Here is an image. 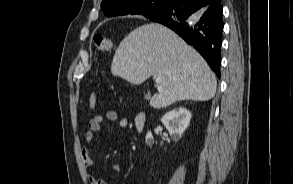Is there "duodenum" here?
I'll return each mask as SVG.
<instances>
[{
    "instance_id": "obj_1",
    "label": "duodenum",
    "mask_w": 293,
    "mask_h": 184,
    "mask_svg": "<svg viewBox=\"0 0 293 184\" xmlns=\"http://www.w3.org/2000/svg\"><path fill=\"white\" fill-rule=\"evenodd\" d=\"M147 121V117L144 113H140L135 117V127L140 132L143 130Z\"/></svg>"
}]
</instances>
